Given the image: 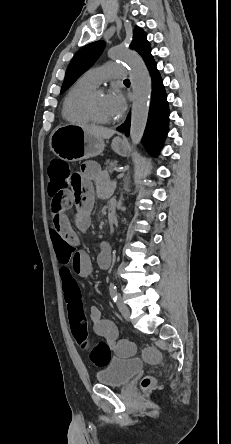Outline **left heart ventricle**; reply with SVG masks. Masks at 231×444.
<instances>
[{
    "label": "left heart ventricle",
    "instance_id": "1",
    "mask_svg": "<svg viewBox=\"0 0 231 444\" xmlns=\"http://www.w3.org/2000/svg\"><path fill=\"white\" fill-rule=\"evenodd\" d=\"M94 110L96 115L101 119L111 120L115 118L108 106L105 93L96 95L94 99Z\"/></svg>",
    "mask_w": 231,
    "mask_h": 444
}]
</instances>
